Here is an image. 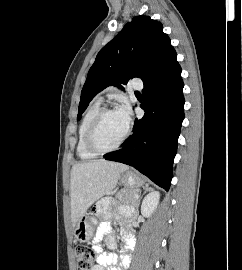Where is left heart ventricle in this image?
<instances>
[{
    "mask_svg": "<svg viewBox=\"0 0 242 270\" xmlns=\"http://www.w3.org/2000/svg\"><path fill=\"white\" fill-rule=\"evenodd\" d=\"M126 128L127 126L118 112L106 115L96 131L95 144L101 148L114 146L122 138Z\"/></svg>",
    "mask_w": 242,
    "mask_h": 270,
    "instance_id": "1",
    "label": "left heart ventricle"
}]
</instances>
